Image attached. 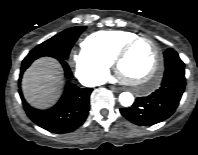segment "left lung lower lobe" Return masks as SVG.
<instances>
[{
  "mask_svg": "<svg viewBox=\"0 0 198 155\" xmlns=\"http://www.w3.org/2000/svg\"><path fill=\"white\" fill-rule=\"evenodd\" d=\"M184 88V65H171L166 68L159 89L147 97H139L132 107L122 108L120 111L136 125L150 126L159 123L175 112Z\"/></svg>",
  "mask_w": 198,
  "mask_h": 155,
  "instance_id": "left-lung-lower-lobe-1",
  "label": "left lung lower lobe"
}]
</instances>
